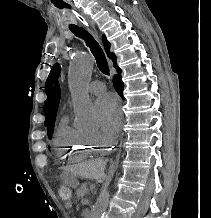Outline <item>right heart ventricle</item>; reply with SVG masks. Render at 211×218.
Masks as SVG:
<instances>
[{
  "label": "right heart ventricle",
  "instance_id": "right-heart-ventricle-1",
  "mask_svg": "<svg viewBox=\"0 0 211 218\" xmlns=\"http://www.w3.org/2000/svg\"><path fill=\"white\" fill-rule=\"evenodd\" d=\"M56 141L55 149L61 165H74L78 160L103 154L108 145L94 142L84 131L71 127L65 116L58 123Z\"/></svg>",
  "mask_w": 211,
  "mask_h": 218
}]
</instances>
